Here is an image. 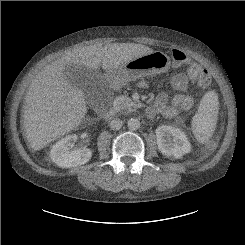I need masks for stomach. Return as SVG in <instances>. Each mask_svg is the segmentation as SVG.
<instances>
[{
  "mask_svg": "<svg viewBox=\"0 0 245 245\" xmlns=\"http://www.w3.org/2000/svg\"><path fill=\"white\" fill-rule=\"evenodd\" d=\"M170 65V57L167 54L161 51H153L137 57L125 65L107 70L105 76L113 87L119 88L129 81L141 77L165 73Z\"/></svg>",
  "mask_w": 245,
  "mask_h": 245,
  "instance_id": "obj_1",
  "label": "stomach"
}]
</instances>
